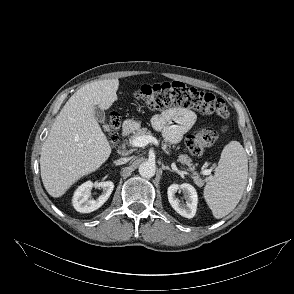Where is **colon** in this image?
Here are the masks:
<instances>
[{"mask_svg":"<svg viewBox=\"0 0 294 294\" xmlns=\"http://www.w3.org/2000/svg\"><path fill=\"white\" fill-rule=\"evenodd\" d=\"M136 97L150 110H160L170 106H185L204 115H216L226 119L228 108L221 98L213 93L189 87L181 82H163L152 85H143L136 91ZM120 119L117 113L109 117L112 143L117 139L116 129ZM217 132L209 127H203L187 136L186 147L194 156L202 155L217 139Z\"/></svg>","mask_w":294,"mask_h":294,"instance_id":"obj_1","label":"colon"}]
</instances>
